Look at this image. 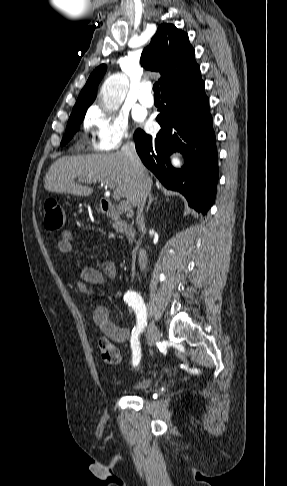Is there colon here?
Listing matches in <instances>:
<instances>
[{
  "mask_svg": "<svg viewBox=\"0 0 287 486\" xmlns=\"http://www.w3.org/2000/svg\"><path fill=\"white\" fill-rule=\"evenodd\" d=\"M44 225L47 229L56 231L62 228L65 220L64 211L60 203L53 198L44 202ZM103 361L109 365H117L121 356L118 348L107 337H102L98 342Z\"/></svg>",
  "mask_w": 287,
  "mask_h": 486,
  "instance_id": "5ec220e1",
  "label": "colon"
}]
</instances>
